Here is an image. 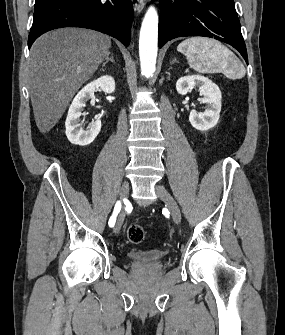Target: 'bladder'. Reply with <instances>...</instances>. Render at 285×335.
I'll return each instance as SVG.
<instances>
[{
  "label": "bladder",
  "mask_w": 285,
  "mask_h": 335,
  "mask_svg": "<svg viewBox=\"0 0 285 335\" xmlns=\"http://www.w3.org/2000/svg\"><path fill=\"white\" fill-rule=\"evenodd\" d=\"M167 255V251H158L155 248L149 250L126 251V257L134 266L159 265L165 261Z\"/></svg>",
  "instance_id": "1"
}]
</instances>
